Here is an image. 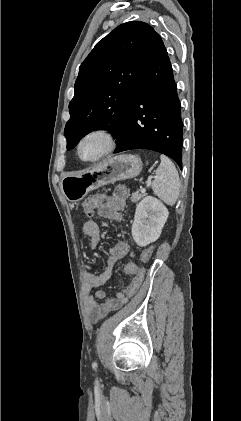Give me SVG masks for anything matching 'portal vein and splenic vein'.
Returning a JSON list of instances; mask_svg holds the SVG:
<instances>
[{
    "mask_svg": "<svg viewBox=\"0 0 241 421\" xmlns=\"http://www.w3.org/2000/svg\"><path fill=\"white\" fill-rule=\"evenodd\" d=\"M154 178V176L153 175H150L149 177H148V179H147V186L150 184V182H151V180ZM141 192L142 193H145L146 192V189L145 188H141Z\"/></svg>",
    "mask_w": 241,
    "mask_h": 421,
    "instance_id": "portal-vein-and-splenic-vein-1",
    "label": "portal vein and splenic vein"
}]
</instances>
